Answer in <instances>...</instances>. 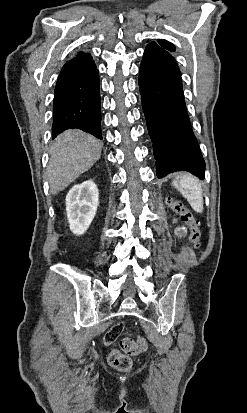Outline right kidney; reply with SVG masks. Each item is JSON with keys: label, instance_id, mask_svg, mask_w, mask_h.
<instances>
[{"label": "right kidney", "instance_id": "1", "mask_svg": "<svg viewBox=\"0 0 247 413\" xmlns=\"http://www.w3.org/2000/svg\"><path fill=\"white\" fill-rule=\"evenodd\" d=\"M98 188L93 180L74 184L66 196V213L74 235H83L91 225L98 207Z\"/></svg>", "mask_w": 247, "mask_h": 413}]
</instances>
